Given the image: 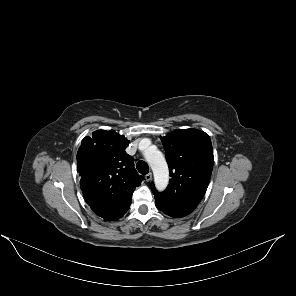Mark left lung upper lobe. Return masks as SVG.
<instances>
[{
  "label": "left lung upper lobe",
  "mask_w": 296,
  "mask_h": 296,
  "mask_svg": "<svg viewBox=\"0 0 296 296\" xmlns=\"http://www.w3.org/2000/svg\"><path fill=\"white\" fill-rule=\"evenodd\" d=\"M161 141L172 178L164 192H157L151 185L156 203L163 208L192 212L203 198L212 173L210 137L196 129H178Z\"/></svg>",
  "instance_id": "5c2ea615"
}]
</instances>
